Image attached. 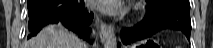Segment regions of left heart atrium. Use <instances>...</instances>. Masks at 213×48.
<instances>
[{
	"instance_id": "left-heart-atrium-1",
	"label": "left heart atrium",
	"mask_w": 213,
	"mask_h": 48,
	"mask_svg": "<svg viewBox=\"0 0 213 48\" xmlns=\"http://www.w3.org/2000/svg\"><path fill=\"white\" fill-rule=\"evenodd\" d=\"M92 6L105 14H121L124 6L120 0H94Z\"/></svg>"
}]
</instances>
